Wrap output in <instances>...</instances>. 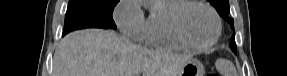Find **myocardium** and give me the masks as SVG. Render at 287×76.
I'll use <instances>...</instances> for the list:
<instances>
[{"mask_svg":"<svg viewBox=\"0 0 287 76\" xmlns=\"http://www.w3.org/2000/svg\"><path fill=\"white\" fill-rule=\"evenodd\" d=\"M191 6H199L205 8L207 11L210 12L212 15L215 24H216V31L214 36L211 38L210 41L197 44L190 41L187 36L185 35L182 26H181V18L184 12ZM170 27L172 33L174 34L175 38L186 48L196 49V50H204L212 47L219 39L222 33V22L221 19L216 12V10L210 6L209 4L203 1H192V0H183L177 7L173 9L170 16Z\"/></svg>","mask_w":287,"mask_h":76,"instance_id":"obj_1","label":"myocardium"}]
</instances>
